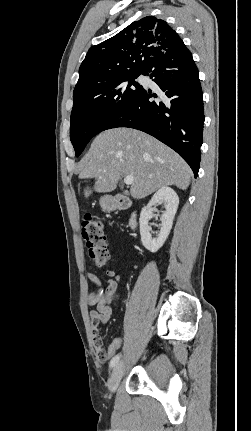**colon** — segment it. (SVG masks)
<instances>
[{
  "mask_svg": "<svg viewBox=\"0 0 251 431\" xmlns=\"http://www.w3.org/2000/svg\"><path fill=\"white\" fill-rule=\"evenodd\" d=\"M82 237L86 243L88 255L95 265L101 267L107 264L109 253L106 246V237L100 221L94 220L91 216H86L82 222ZM123 339L115 337L106 346L108 361H111L118 350L121 349Z\"/></svg>",
  "mask_w": 251,
  "mask_h": 431,
  "instance_id": "5ec220e1",
  "label": "colon"
}]
</instances>
